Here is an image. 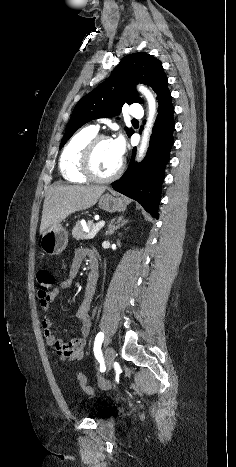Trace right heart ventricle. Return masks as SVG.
Masks as SVG:
<instances>
[{
	"label": "right heart ventricle",
	"instance_id": "e07e8e85",
	"mask_svg": "<svg viewBox=\"0 0 236 467\" xmlns=\"http://www.w3.org/2000/svg\"><path fill=\"white\" fill-rule=\"evenodd\" d=\"M97 134V131L91 127H86L77 132L63 149L59 168L62 177L68 182L83 183L88 179L80 170L81 151L87 142Z\"/></svg>",
	"mask_w": 236,
	"mask_h": 467
}]
</instances>
